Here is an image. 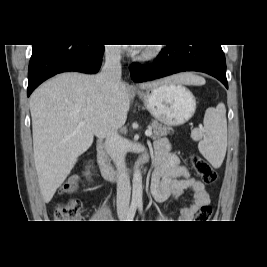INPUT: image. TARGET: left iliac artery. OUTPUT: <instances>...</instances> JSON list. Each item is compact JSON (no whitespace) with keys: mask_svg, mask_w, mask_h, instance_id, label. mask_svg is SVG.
I'll return each mask as SVG.
<instances>
[{"mask_svg":"<svg viewBox=\"0 0 267 267\" xmlns=\"http://www.w3.org/2000/svg\"><path fill=\"white\" fill-rule=\"evenodd\" d=\"M138 207H139L140 212L142 213V211H143V205H142V203H139L138 204Z\"/></svg>","mask_w":267,"mask_h":267,"instance_id":"44dca946","label":"left iliac artery"}]
</instances>
